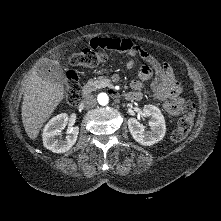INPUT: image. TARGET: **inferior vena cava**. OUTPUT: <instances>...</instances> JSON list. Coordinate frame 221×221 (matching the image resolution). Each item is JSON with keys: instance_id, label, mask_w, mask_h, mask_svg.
<instances>
[{"instance_id": "1", "label": "inferior vena cava", "mask_w": 221, "mask_h": 221, "mask_svg": "<svg viewBox=\"0 0 221 221\" xmlns=\"http://www.w3.org/2000/svg\"><path fill=\"white\" fill-rule=\"evenodd\" d=\"M96 103H97V100L93 95L86 96L82 101V104L86 109L94 107Z\"/></svg>"}]
</instances>
